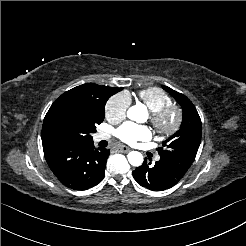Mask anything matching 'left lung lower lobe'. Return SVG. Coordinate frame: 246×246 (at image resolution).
Here are the masks:
<instances>
[{"instance_id":"0a47b994","label":"left lung lower lobe","mask_w":246,"mask_h":246,"mask_svg":"<svg viewBox=\"0 0 246 246\" xmlns=\"http://www.w3.org/2000/svg\"><path fill=\"white\" fill-rule=\"evenodd\" d=\"M187 171L166 158H160L155 164L145 158L143 164L133 171L135 180L150 190H165L177 184Z\"/></svg>"}]
</instances>
